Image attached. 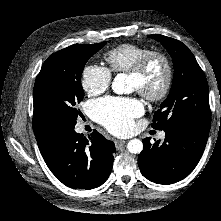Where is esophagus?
<instances>
[{"mask_svg":"<svg viewBox=\"0 0 221 221\" xmlns=\"http://www.w3.org/2000/svg\"><path fill=\"white\" fill-rule=\"evenodd\" d=\"M126 142L123 140H115V146L117 149H119L121 146H123Z\"/></svg>","mask_w":221,"mask_h":221,"instance_id":"obj_1","label":"esophagus"}]
</instances>
